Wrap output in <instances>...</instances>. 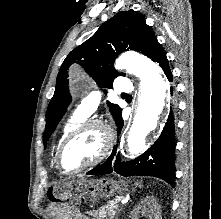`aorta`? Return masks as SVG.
<instances>
[{
	"label": "aorta",
	"instance_id": "aorta-1",
	"mask_svg": "<svg viewBox=\"0 0 221 219\" xmlns=\"http://www.w3.org/2000/svg\"><path fill=\"white\" fill-rule=\"evenodd\" d=\"M118 69L140 79V90L137 97V108L127 137L126 151L130 155L139 154L144 145L145 137L154 130L160 116L167 106V82L160 67L139 53L129 51L123 53L116 61ZM74 83L80 78L77 69L70 72Z\"/></svg>",
	"mask_w": 221,
	"mask_h": 219
}]
</instances>
